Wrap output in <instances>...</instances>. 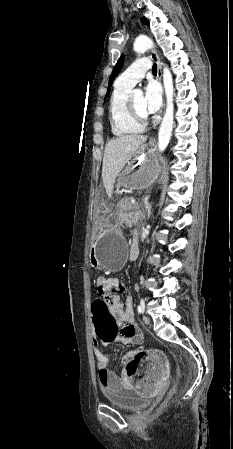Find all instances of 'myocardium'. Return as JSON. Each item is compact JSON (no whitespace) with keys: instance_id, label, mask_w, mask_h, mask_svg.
<instances>
[{"instance_id":"myocardium-1","label":"myocardium","mask_w":233,"mask_h":449,"mask_svg":"<svg viewBox=\"0 0 233 449\" xmlns=\"http://www.w3.org/2000/svg\"><path fill=\"white\" fill-rule=\"evenodd\" d=\"M127 111L129 113V115L131 116V118L133 120H135L136 122L140 123V124H146L148 121V114L147 113H140L133 101V95H129L128 99H127Z\"/></svg>"}]
</instances>
